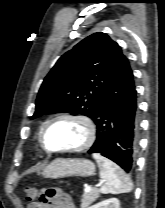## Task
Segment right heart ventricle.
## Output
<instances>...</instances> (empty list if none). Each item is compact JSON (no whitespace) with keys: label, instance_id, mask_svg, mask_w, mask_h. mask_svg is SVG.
Masks as SVG:
<instances>
[{"label":"right heart ventricle","instance_id":"1","mask_svg":"<svg viewBox=\"0 0 165 208\" xmlns=\"http://www.w3.org/2000/svg\"><path fill=\"white\" fill-rule=\"evenodd\" d=\"M42 128H43V127H42ZM42 128L39 130V133H38V135H40V132H41Z\"/></svg>","mask_w":165,"mask_h":208}]
</instances>
